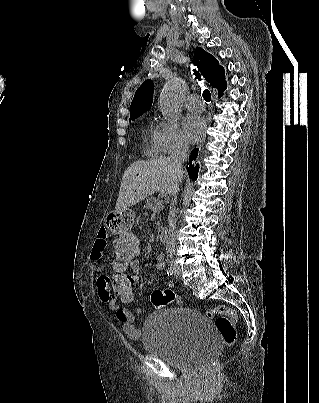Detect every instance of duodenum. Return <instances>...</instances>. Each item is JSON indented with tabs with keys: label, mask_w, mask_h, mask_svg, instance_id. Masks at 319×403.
I'll use <instances>...</instances> for the list:
<instances>
[{
	"label": "duodenum",
	"mask_w": 319,
	"mask_h": 403,
	"mask_svg": "<svg viewBox=\"0 0 319 403\" xmlns=\"http://www.w3.org/2000/svg\"><path fill=\"white\" fill-rule=\"evenodd\" d=\"M156 232L158 236L161 238L163 241H168L169 239V230L165 225H158L156 226Z\"/></svg>",
	"instance_id": "1"
}]
</instances>
